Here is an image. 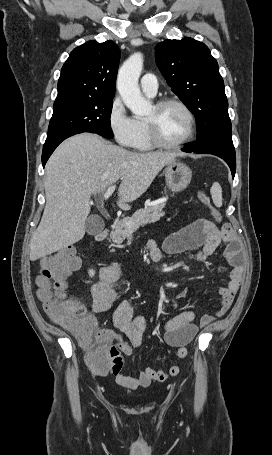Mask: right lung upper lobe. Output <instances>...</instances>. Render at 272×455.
Wrapping results in <instances>:
<instances>
[{
  "instance_id": "obj_1",
  "label": "right lung upper lobe",
  "mask_w": 272,
  "mask_h": 455,
  "mask_svg": "<svg viewBox=\"0 0 272 455\" xmlns=\"http://www.w3.org/2000/svg\"><path fill=\"white\" fill-rule=\"evenodd\" d=\"M120 50L111 40H90L76 47L64 63L55 101L113 98Z\"/></svg>"
}]
</instances>
